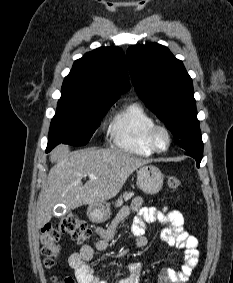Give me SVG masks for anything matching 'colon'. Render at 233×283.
<instances>
[{"mask_svg":"<svg viewBox=\"0 0 233 283\" xmlns=\"http://www.w3.org/2000/svg\"><path fill=\"white\" fill-rule=\"evenodd\" d=\"M167 183L173 191L179 190L182 185L181 180L174 176H170ZM63 234L70 235L73 240L82 244L91 238L92 231L85 222L70 214L58 221L45 224L40 232V241L42 244V254L45 257L44 263L47 267L55 265L56 257L59 253V241ZM53 283H75V280L72 277L54 278Z\"/></svg>","mask_w":233,"mask_h":283,"instance_id":"obj_1","label":"colon"}]
</instances>
